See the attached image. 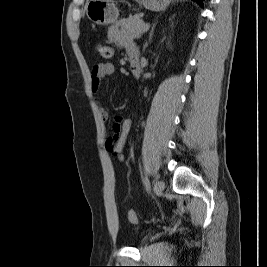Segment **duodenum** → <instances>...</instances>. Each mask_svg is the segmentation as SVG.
Instances as JSON below:
<instances>
[{
	"instance_id": "obj_1",
	"label": "duodenum",
	"mask_w": 267,
	"mask_h": 267,
	"mask_svg": "<svg viewBox=\"0 0 267 267\" xmlns=\"http://www.w3.org/2000/svg\"><path fill=\"white\" fill-rule=\"evenodd\" d=\"M130 69L134 77H139L141 74V63L139 57L130 58Z\"/></svg>"
}]
</instances>
